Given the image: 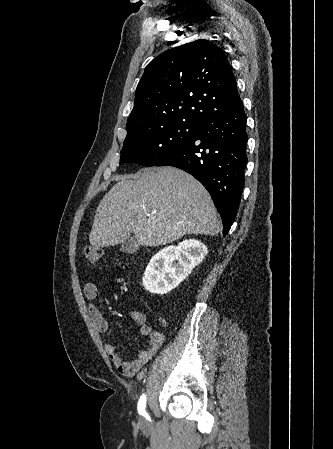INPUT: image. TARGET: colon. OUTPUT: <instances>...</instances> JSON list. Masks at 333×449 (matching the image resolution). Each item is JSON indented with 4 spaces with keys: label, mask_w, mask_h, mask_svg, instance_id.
Returning a JSON list of instances; mask_svg holds the SVG:
<instances>
[{
    "label": "colon",
    "mask_w": 333,
    "mask_h": 449,
    "mask_svg": "<svg viewBox=\"0 0 333 449\" xmlns=\"http://www.w3.org/2000/svg\"><path fill=\"white\" fill-rule=\"evenodd\" d=\"M84 258L89 264H96L102 258V250L96 246H88L84 250Z\"/></svg>",
    "instance_id": "1"
}]
</instances>
